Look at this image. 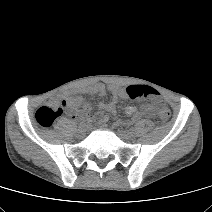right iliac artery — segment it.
<instances>
[{
    "mask_svg": "<svg viewBox=\"0 0 212 212\" xmlns=\"http://www.w3.org/2000/svg\"><path fill=\"white\" fill-rule=\"evenodd\" d=\"M86 126V123L85 122H81L78 124V128H83Z\"/></svg>",
    "mask_w": 212,
    "mask_h": 212,
    "instance_id": "82829eb1",
    "label": "right iliac artery"
}]
</instances>
